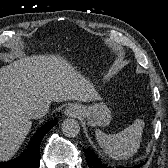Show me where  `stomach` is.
Segmentation results:
<instances>
[{"label": "stomach", "instance_id": "0dacf381", "mask_svg": "<svg viewBox=\"0 0 168 168\" xmlns=\"http://www.w3.org/2000/svg\"><path fill=\"white\" fill-rule=\"evenodd\" d=\"M84 116L90 126H106L111 121V111L102 102L84 107Z\"/></svg>", "mask_w": 168, "mask_h": 168}]
</instances>
